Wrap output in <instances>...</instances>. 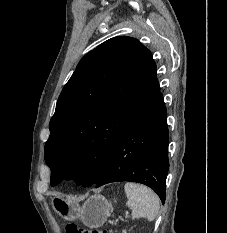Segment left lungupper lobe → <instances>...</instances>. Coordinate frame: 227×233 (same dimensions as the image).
<instances>
[{
  "label": "left lung upper lobe",
  "mask_w": 227,
  "mask_h": 233,
  "mask_svg": "<svg viewBox=\"0 0 227 233\" xmlns=\"http://www.w3.org/2000/svg\"><path fill=\"white\" fill-rule=\"evenodd\" d=\"M159 94L156 64L138 40L114 37L86 54L50 120L51 186L66 178L95 185L123 131Z\"/></svg>",
  "instance_id": "5c2ea615"
}]
</instances>
